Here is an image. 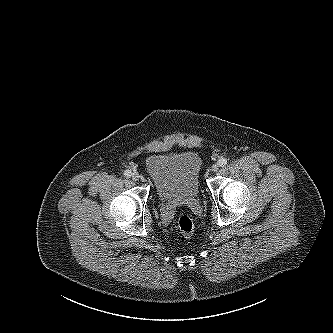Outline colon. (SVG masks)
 Returning <instances> with one entry per match:
<instances>
[{"label": "colon", "mask_w": 333, "mask_h": 333, "mask_svg": "<svg viewBox=\"0 0 333 333\" xmlns=\"http://www.w3.org/2000/svg\"><path fill=\"white\" fill-rule=\"evenodd\" d=\"M178 229L184 236H190L195 229L193 219L188 215H183L178 220Z\"/></svg>", "instance_id": "5ec220e1"}]
</instances>
